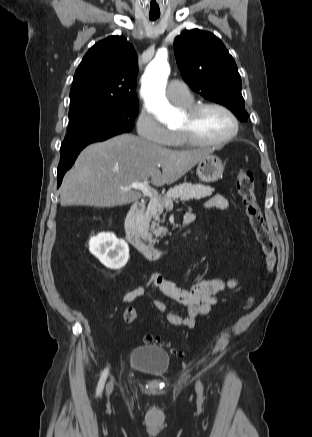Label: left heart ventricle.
Wrapping results in <instances>:
<instances>
[{
	"label": "left heart ventricle",
	"mask_w": 312,
	"mask_h": 437,
	"mask_svg": "<svg viewBox=\"0 0 312 437\" xmlns=\"http://www.w3.org/2000/svg\"><path fill=\"white\" fill-rule=\"evenodd\" d=\"M186 126H191L202 139L216 140L231 132L232 121L223 111L217 108H207L198 114L192 123L184 113L178 128Z\"/></svg>",
	"instance_id": "obj_1"
}]
</instances>
